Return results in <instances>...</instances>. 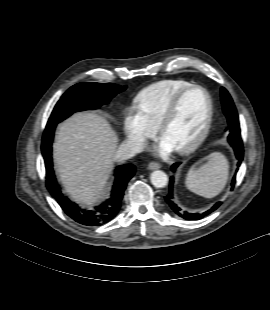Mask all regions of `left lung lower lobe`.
Masks as SVG:
<instances>
[{
    "label": "left lung lower lobe",
    "mask_w": 270,
    "mask_h": 310,
    "mask_svg": "<svg viewBox=\"0 0 270 310\" xmlns=\"http://www.w3.org/2000/svg\"><path fill=\"white\" fill-rule=\"evenodd\" d=\"M234 151H235V155L238 159V166H240L241 161L243 159V145H242V140H238L235 142H232L230 144ZM180 163H175L172 165L171 169L172 171H175V169L178 167ZM235 183V176L233 177L232 180V187L234 186ZM173 184H174V177H170V182H169V190H168V194L165 196V201L167 202V204L171 207V209L180 217L187 219V220H197V219H201L203 218L205 215L210 214L211 212H213L214 210H216L222 202H217L211 209H209L208 211H206L203 214H199V213H188L186 211H182L173 201Z\"/></svg>",
    "instance_id": "left-lung-lower-lobe-1"
}]
</instances>
